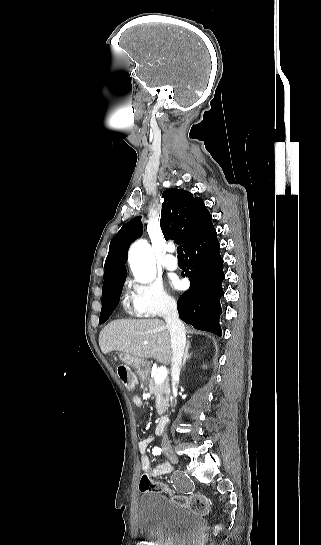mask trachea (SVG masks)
I'll list each match as a JSON object with an SVG mask.
<instances>
[{
	"instance_id": "trachea-1",
	"label": "trachea",
	"mask_w": 321,
	"mask_h": 545,
	"mask_svg": "<svg viewBox=\"0 0 321 545\" xmlns=\"http://www.w3.org/2000/svg\"><path fill=\"white\" fill-rule=\"evenodd\" d=\"M177 254H178V258L184 259V255H183V251H182L181 246L177 247Z\"/></svg>"
}]
</instances>
